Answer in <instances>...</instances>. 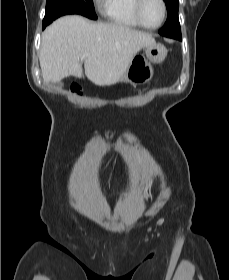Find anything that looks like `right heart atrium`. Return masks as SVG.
<instances>
[{
    "label": "right heart atrium",
    "mask_w": 229,
    "mask_h": 280,
    "mask_svg": "<svg viewBox=\"0 0 229 280\" xmlns=\"http://www.w3.org/2000/svg\"><path fill=\"white\" fill-rule=\"evenodd\" d=\"M94 1L97 7H102L105 4V0H94Z\"/></svg>",
    "instance_id": "obj_1"
}]
</instances>
